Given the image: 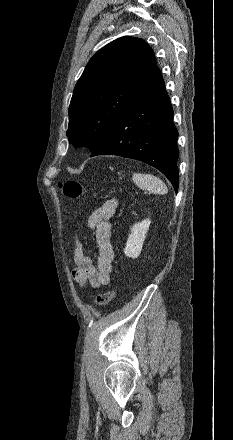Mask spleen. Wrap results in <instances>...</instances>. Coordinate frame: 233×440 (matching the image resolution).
Returning a JSON list of instances; mask_svg holds the SVG:
<instances>
[{"mask_svg": "<svg viewBox=\"0 0 233 440\" xmlns=\"http://www.w3.org/2000/svg\"><path fill=\"white\" fill-rule=\"evenodd\" d=\"M132 179L140 189L153 194H166L168 192L166 184L152 174L134 173Z\"/></svg>", "mask_w": 233, "mask_h": 440, "instance_id": "obj_1", "label": "spleen"}]
</instances>
